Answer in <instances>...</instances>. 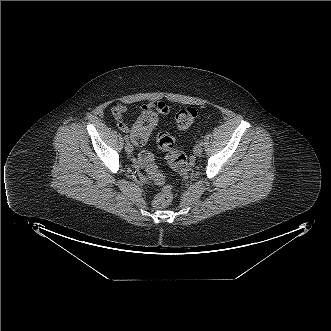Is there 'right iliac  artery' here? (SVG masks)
Returning a JSON list of instances; mask_svg holds the SVG:
<instances>
[{"label": "right iliac artery", "instance_id": "82829eb1", "mask_svg": "<svg viewBox=\"0 0 331 331\" xmlns=\"http://www.w3.org/2000/svg\"><path fill=\"white\" fill-rule=\"evenodd\" d=\"M124 139H125V141L126 142H128L129 141V137L126 135V136H124Z\"/></svg>", "mask_w": 331, "mask_h": 331}]
</instances>
